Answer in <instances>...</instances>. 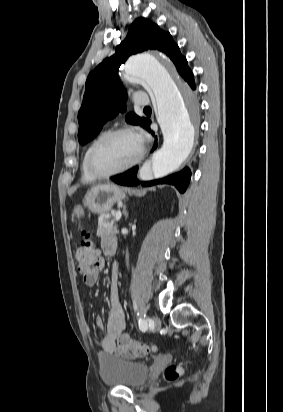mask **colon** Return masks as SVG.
<instances>
[{
  "label": "colon",
  "instance_id": "colon-1",
  "mask_svg": "<svg viewBox=\"0 0 283 412\" xmlns=\"http://www.w3.org/2000/svg\"><path fill=\"white\" fill-rule=\"evenodd\" d=\"M80 231L83 241L76 251V259L79 272L85 274L93 264H97L98 253L89 234L81 228ZM118 346L119 350L124 353L125 356L132 355L134 357H142L154 350L153 346L137 342L127 335L120 336ZM182 373L183 368L180 365L171 364L165 370V377L167 380L172 381L178 379Z\"/></svg>",
  "mask_w": 283,
  "mask_h": 412
}]
</instances>
